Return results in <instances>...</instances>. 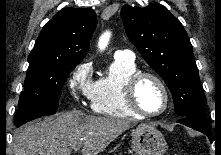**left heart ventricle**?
<instances>
[{"label":"left heart ventricle","mask_w":221,"mask_h":155,"mask_svg":"<svg viewBox=\"0 0 221 155\" xmlns=\"http://www.w3.org/2000/svg\"><path fill=\"white\" fill-rule=\"evenodd\" d=\"M137 100L147 112L160 111L164 105V95L159 85L150 78L143 79L137 89Z\"/></svg>","instance_id":"left-heart-ventricle-1"}]
</instances>
